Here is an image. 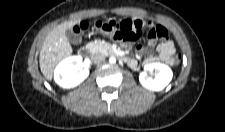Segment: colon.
<instances>
[{"instance_id":"1","label":"colon","mask_w":225,"mask_h":132,"mask_svg":"<svg viewBox=\"0 0 225 132\" xmlns=\"http://www.w3.org/2000/svg\"><path fill=\"white\" fill-rule=\"evenodd\" d=\"M96 27L103 33L111 35L114 39L125 40V41H135L139 38L141 33V28H137L133 31H121L120 28L113 21L109 22H97ZM146 29V28H145ZM149 39L157 40L159 38H167V31L160 27L156 26L152 29H148ZM181 60L180 55L174 57V63L178 64Z\"/></svg>"}]
</instances>
